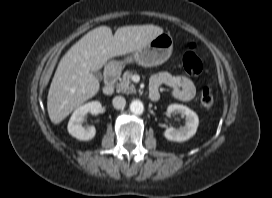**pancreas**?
Masks as SVG:
<instances>
[{"label":"pancreas","instance_id":"pancreas-1","mask_svg":"<svg viewBox=\"0 0 272 198\" xmlns=\"http://www.w3.org/2000/svg\"><path fill=\"white\" fill-rule=\"evenodd\" d=\"M132 76L133 71H126L122 78L120 79L119 83L116 86L117 92L131 94L136 92V88L132 83Z\"/></svg>","mask_w":272,"mask_h":198}]
</instances>
